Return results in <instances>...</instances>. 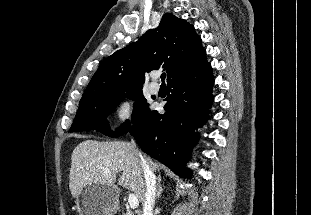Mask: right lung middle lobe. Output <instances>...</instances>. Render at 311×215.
Segmentation results:
<instances>
[{"instance_id": "1", "label": "right lung middle lobe", "mask_w": 311, "mask_h": 215, "mask_svg": "<svg viewBox=\"0 0 311 215\" xmlns=\"http://www.w3.org/2000/svg\"><path fill=\"white\" fill-rule=\"evenodd\" d=\"M136 101L133 105L132 125L138 123L141 118L150 111L142 90L131 91L128 94L104 95L79 103L75 120L70 128L72 132L97 130L110 137H118L127 133L132 125L127 120L113 133L106 117L126 98Z\"/></svg>"}]
</instances>
